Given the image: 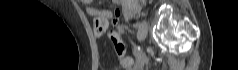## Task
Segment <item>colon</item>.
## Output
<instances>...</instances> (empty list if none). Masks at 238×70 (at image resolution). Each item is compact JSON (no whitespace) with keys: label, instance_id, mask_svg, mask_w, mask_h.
Wrapping results in <instances>:
<instances>
[{"label":"colon","instance_id":"colon-1","mask_svg":"<svg viewBox=\"0 0 238 70\" xmlns=\"http://www.w3.org/2000/svg\"><path fill=\"white\" fill-rule=\"evenodd\" d=\"M109 39L115 47L116 54H118L119 56H123V54H125V47L122 42V36H120V33H116L115 31H110ZM122 62L124 66L128 68L129 70L133 69L132 68L133 61L130 58H123Z\"/></svg>","mask_w":238,"mask_h":70}]
</instances>
